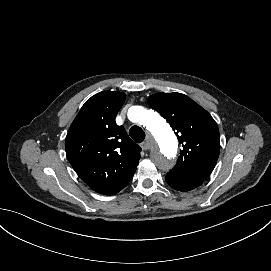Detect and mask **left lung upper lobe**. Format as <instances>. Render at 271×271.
Instances as JSON below:
<instances>
[{
    "instance_id": "5c2ea615",
    "label": "left lung upper lobe",
    "mask_w": 271,
    "mask_h": 271,
    "mask_svg": "<svg viewBox=\"0 0 271 271\" xmlns=\"http://www.w3.org/2000/svg\"><path fill=\"white\" fill-rule=\"evenodd\" d=\"M147 101L170 123L183 146L177 164L169 173L206 180L220 152V135L214 119L200 105L181 93H156Z\"/></svg>"
}]
</instances>
